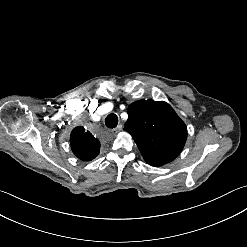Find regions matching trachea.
I'll use <instances>...</instances> for the list:
<instances>
[{
	"mask_svg": "<svg viewBox=\"0 0 247 247\" xmlns=\"http://www.w3.org/2000/svg\"><path fill=\"white\" fill-rule=\"evenodd\" d=\"M105 124L108 128H115L118 124V117L115 114H109L106 117Z\"/></svg>",
	"mask_w": 247,
	"mask_h": 247,
	"instance_id": "1",
	"label": "trachea"
}]
</instances>
